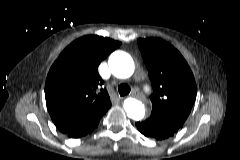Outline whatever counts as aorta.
Masks as SVG:
<instances>
[{
	"mask_svg": "<svg viewBox=\"0 0 240 160\" xmlns=\"http://www.w3.org/2000/svg\"><path fill=\"white\" fill-rule=\"evenodd\" d=\"M109 68L111 73L121 79H126L134 73V61L132 57L123 51H115L109 57ZM127 116L139 121L145 116V108L142 102L134 98H127L123 104Z\"/></svg>",
	"mask_w": 240,
	"mask_h": 160,
	"instance_id": "762f6f07",
	"label": "aorta"
}]
</instances>
